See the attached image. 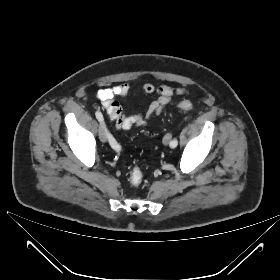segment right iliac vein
<instances>
[{
  "label": "right iliac vein",
  "mask_w": 280,
  "mask_h": 280,
  "mask_svg": "<svg viewBox=\"0 0 280 280\" xmlns=\"http://www.w3.org/2000/svg\"><path fill=\"white\" fill-rule=\"evenodd\" d=\"M108 138V131L104 123H101L99 128V139L101 142L105 143Z\"/></svg>",
  "instance_id": "1"
}]
</instances>
